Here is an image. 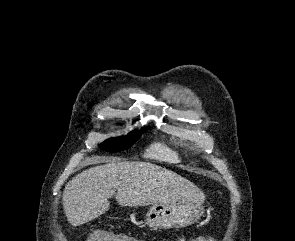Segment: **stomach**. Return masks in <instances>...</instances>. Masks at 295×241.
Wrapping results in <instances>:
<instances>
[{
	"label": "stomach",
	"instance_id": "1",
	"mask_svg": "<svg viewBox=\"0 0 295 241\" xmlns=\"http://www.w3.org/2000/svg\"><path fill=\"white\" fill-rule=\"evenodd\" d=\"M201 203L153 204L145 215V224L150 228H183L197 222L203 215Z\"/></svg>",
	"mask_w": 295,
	"mask_h": 241
}]
</instances>
